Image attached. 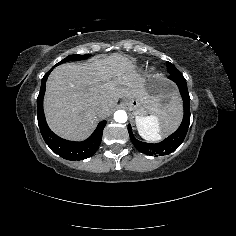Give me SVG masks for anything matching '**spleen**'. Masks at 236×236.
Here are the masks:
<instances>
[{"label":"spleen","mask_w":236,"mask_h":236,"mask_svg":"<svg viewBox=\"0 0 236 236\" xmlns=\"http://www.w3.org/2000/svg\"><path fill=\"white\" fill-rule=\"evenodd\" d=\"M177 112L174 108L170 107L167 112L162 116H137L135 118L136 127L139 135L149 142H157L161 140V124L167 122L170 114Z\"/></svg>","instance_id":"1"}]
</instances>
